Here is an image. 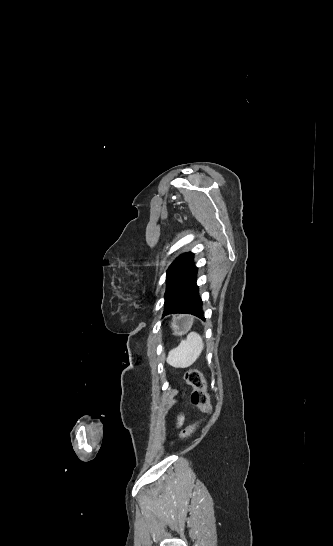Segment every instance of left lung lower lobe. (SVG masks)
<instances>
[{
  "instance_id": "1",
  "label": "left lung lower lobe",
  "mask_w": 333,
  "mask_h": 546,
  "mask_svg": "<svg viewBox=\"0 0 333 546\" xmlns=\"http://www.w3.org/2000/svg\"><path fill=\"white\" fill-rule=\"evenodd\" d=\"M196 275L197 267L192 262L172 281L165 294L163 316L187 313L205 320L202 300L196 284Z\"/></svg>"
}]
</instances>
